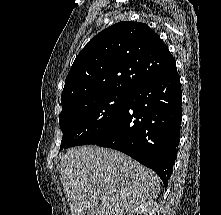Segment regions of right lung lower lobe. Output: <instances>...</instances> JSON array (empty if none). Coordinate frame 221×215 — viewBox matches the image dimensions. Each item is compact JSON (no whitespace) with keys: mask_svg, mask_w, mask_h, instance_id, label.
Here are the masks:
<instances>
[{"mask_svg":"<svg viewBox=\"0 0 221 215\" xmlns=\"http://www.w3.org/2000/svg\"><path fill=\"white\" fill-rule=\"evenodd\" d=\"M181 100L174 60L133 89L111 129L90 144L124 152L154 170L167 186L179 141Z\"/></svg>","mask_w":221,"mask_h":215,"instance_id":"98d812e1","label":"right lung lower lobe"}]
</instances>
